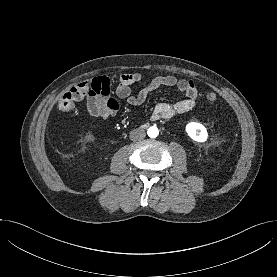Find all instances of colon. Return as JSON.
I'll return each mask as SVG.
<instances>
[{
  "mask_svg": "<svg viewBox=\"0 0 277 277\" xmlns=\"http://www.w3.org/2000/svg\"><path fill=\"white\" fill-rule=\"evenodd\" d=\"M87 83H79L68 90L59 100L57 109L61 114H68L75 109V102L80 100L87 92ZM205 99L209 104H215L218 100L217 94L209 90L205 94Z\"/></svg>",
  "mask_w": 277,
  "mask_h": 277,
  "instance_id": "5ec220e1",
  "label": "colon"
}]
</instances>
